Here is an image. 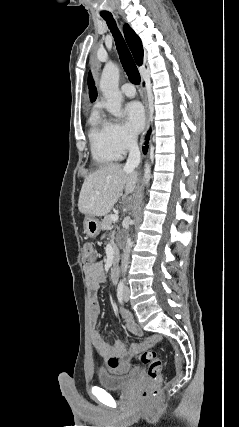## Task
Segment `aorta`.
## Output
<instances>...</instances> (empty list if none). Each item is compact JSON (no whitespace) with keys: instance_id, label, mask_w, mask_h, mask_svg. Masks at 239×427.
I'll list each match as a JSON object with an SVG mask.
<instances>
[{"instance_id":"762f6f07","label":"aorta","mask_w":239,"mask_h":427,"mask_svg":"<svg viewBox=\"0 0 239 427\" xmlns=\"http://www.w3.org/2000/svg\"><path fill=\"white\" fill-rule=\"evenodd\" d=\"M119 68L113 63H107L103 69L100 89L106 99L107 111L117 118L122 117V94L118 88ZM151 178V166L145 163L144 183L148 185Z\"/></svg>"}]
</instances>
